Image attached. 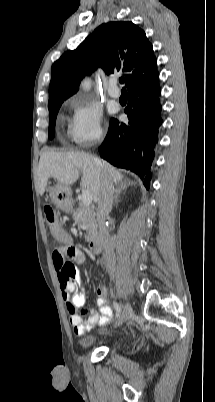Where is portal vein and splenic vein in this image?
Masks as SVG:
<instances>
[{
	"label": "portal vein and splenic vein",
	"instance_id": "obj_1",
	"mask_svg": "<svg viewBox=\"0 0 215 402\" xmlns=\"http://www.w3.org/2000/svg\"><path fill=\"white\" fill-rule=\"evenodd\" d=\"M81 199H82L83 206L89 207L92 202V195H91L90 191L83 189Z\"/></svg>",
	"mask_w": 215,
	"mask_h": 402
}]
</instances>
